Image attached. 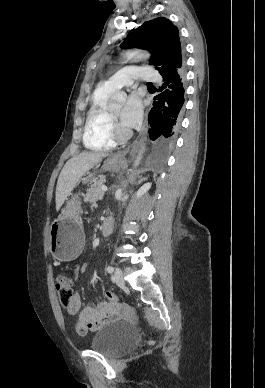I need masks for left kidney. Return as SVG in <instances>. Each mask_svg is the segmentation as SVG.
Segmentation results:
<instances>
[{
  "label": "left kidney",
  "instance_id": "1",
  "mask_svg": "<svg viewBox=\"0 0 265 388\" xmlns=\"http://www.w3.org/2000/svg\"><path fill=\"white\" fill-rule=\"evenodd\" d=\"M151 188V184H144V186H141V188H139L138 192H137V198H141V196H144V194H146V192H148V190H150Z\"/></svg>",
  "mask_w": 265,
  "mask_h": 388
}]
</instances>
